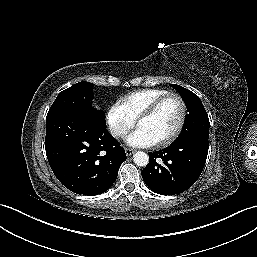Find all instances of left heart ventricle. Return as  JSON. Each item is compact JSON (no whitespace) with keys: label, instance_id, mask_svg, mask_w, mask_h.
I'll return each instance as SVG.
<instances>
[{"label":"left heart ventricle","instance_id":"obj_1","mask_svg":"<svg viewBox=\"0 0 257 257\" xmlns=\"http://www.w3.org/2000/svg\"><path fill=\"white\" fill-rule=\"evenodd\" d=\"M181 106L176 98L168 99L154 115L143 119L138 127L143 128L156 142L168 137L177 127Z\"/></svg>","mask_w":257,"mask_h":257}]
</instances>
